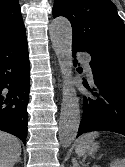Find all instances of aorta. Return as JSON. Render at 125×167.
I'll list each match as a JSON object with an SVG mask.
<instances>
[{
	"instance_id": "1",
	"label": "aorta",
	"mask_w": 125,
	"mask_h": 167,
	"mask_svg": "<svg viewBox=\"0 0 125 167\" xmlns=\"http://www.w3.org/2000/svg\"><path fill=\"white\" fill-rule=\"evenodd\" d=\"M52 47L57 55L64 77L63 98L59 121V139L63 147L75 140L80 124V106L72 76V27L63 17L54 19L49 28Z\"/></svg>"
}]
</instances>
